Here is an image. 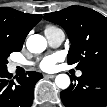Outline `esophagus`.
Here are the masks:
<instances>
[{"label": "esophagus", "mask_w": 107, "mask_h": 107, "mask_svg": "<svg viewBox=\"0 0 107 107\" xmlns=\"http://www.w3.org/2000/svg\"><path fill=\"white\" fill-rule=\"evenodd\" d=\"M56 75L55 74H45V78H54Z\"/></svg>", "instance_id": "34e87169"}]
</instances>
